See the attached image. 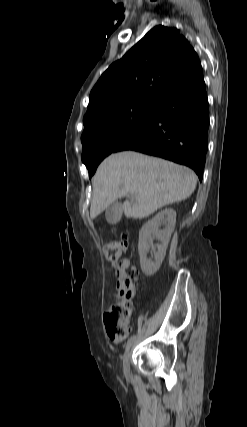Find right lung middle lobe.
Instances as JSON below:
<instances>
[{
    "label": "right lung middle lobe",
    "instance_id": "1",
    "mask_svg": "<svg viewBox=\"0 0 247 427\" xmlns=\"http://www.w3.org/2000/svg\"><path fill=\"white\" fill-rule=\"evenodd\" d=\"M156 108L155 105L129 107L84 129L81 136L82 162L90 178L106 156L116 152L151 120Z\"/></svg>",
    "mask_w": 247,
    "mask_h": 427
}]
</instances>
